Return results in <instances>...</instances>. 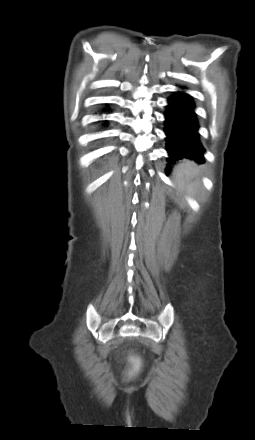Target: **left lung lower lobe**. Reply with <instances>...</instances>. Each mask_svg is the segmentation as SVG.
<instances>
[{
    "label": "left lung lower lobe",
    "mask_w": 255,
    "mask_h": 440,
    "mask_svg": "<svg viewBox=\"0 0 255 440\" xmlns=\"http://www.w3.org/2000/svg\"><path fill=\"white\" fill-rule=\"evenodd\" d=\"M166 150L169 157L166 172L179 160L190 159L203 164L205 149L200 142L199 122L190 95L176 91L168 98L165 112Z\"/></svg>",
    "instance_id": "left-lung-lower-lobe-1"
}]
</instances>
